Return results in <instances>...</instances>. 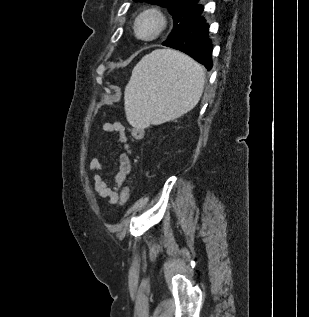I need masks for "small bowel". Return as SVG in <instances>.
Segmentation results:
<instances>
[{
    "label": "small bowel",
    "mask_w": 309,
    "mask_h": 317,
    "mask_svg": "<svg viewBox=\"0 0 309 317\" xmlns=\"http://www.w3.org/2000/svg\"><path fill=\"white\" fill-rule=\"evenodd\" d=\"M103 130L108 133H114L117 136L121 147L119 156V171L114 178V186H112L103 175L104 165L97 159L93 158L89 163V171L95 172L93 176V189L101 198L107 199L108 203L114 205L120 200V190L122 189L130 171L131 164L129 156L131 147L128 141L126 128L119 122H105Z\"/></svg>",
    "instance_id": "small-bowel-1"
}]
</instances>
